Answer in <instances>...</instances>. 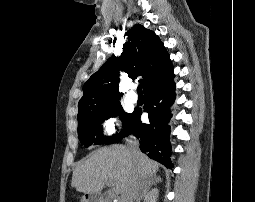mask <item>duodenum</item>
<instances>
[{
    "mask_svg": "<svg viewBox=\"0 0 255 202\" xmlns=\"http://www.w3.org/2000/svg\"><path fill=\"white\" fill-rule=\"evenodd\" d=\"M86 201L87 202H103V199L97 193H89L88 196H86Z\"/></svg>",
    "mask_w": 255,
    "mask_h": 202,
    "instance_id": "1",
    "label": "duodenum"
}]
</instances>
